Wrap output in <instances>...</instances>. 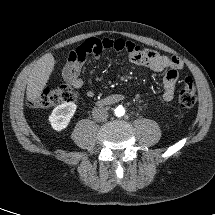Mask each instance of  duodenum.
<instances>
[{"instance_id": "obj_1", "label": "duodenum", "mask_w": 215, "mask_h": 215, "mask_svg": "<svg viewBox=\"0 0 215 215\" xmlns=\"http://www.w3.org/2000/svg\"><path fill=\"white\" fill-rule=\"evenodd\" d=\"M125 99V96L122 94H114V95H110L104 99H102L101 101H99L100 105H110V104H115L118 102H121Z\"/></svg>"}]
</instances>
